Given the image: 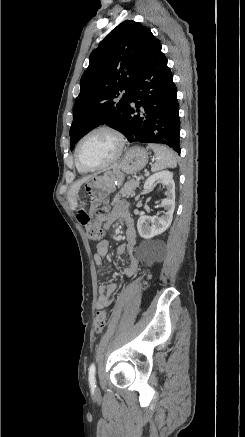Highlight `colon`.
I'll return each mask as SVG.
<instances>
[{
	"mask_svg": "<svg viewBox=\"0 0 245 437\" xmlns=\"http://www.w3.org/2000/svg\"><path fill=\"white\" fill-rule=\"evenodd\" d=\"M108 217V209L106 206H101L94 211V217L90 218L88 224H82L85 227L87 238L90 242H96L101 237V223ZM108 313L106 310L97 312L95 318V331L100 333L106 326Z\"/></svg>",
	"mask_w": 245,
	"mask_h": 437,
	"instance_id": "colon-1",
	"label": "colon"
}]
</instances>
